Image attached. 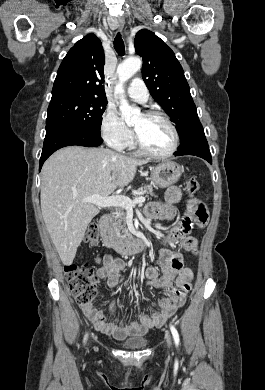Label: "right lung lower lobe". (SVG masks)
<instances>
[{
	"instance_id": "obj_1",
	"label": "right lung lower lobe",
	"mask_w": 265,
	"mask_h": 390,
	"mask_svg": "<svg viewBox=\"0 0 265 390\" xmlns=\"http://www.w3.org/2000/svg\"><path fill=\"white\" fill-rule=\"evenodd\" d=\"M102 142L101 135L94 134L78 126L70 124L46 125V136L40 158L39 171L45 160L62 147L71 145L96 147L101 145Z\"/></svg>"
}]
</instances>
